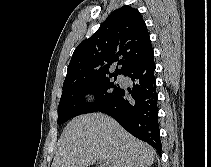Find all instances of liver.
I'll return each mask as SVG.
<instances>
[{
  "label": "liver",
  "instance_id": "1",
  "mask_svg": "<svg viewBox=\"0 0 211 167\" xmlns=\"http://www.w3.org/2000/svg\"><path fill=\"white\" fill-rule=\"evenodd\" d=\"M156 151L134 138L113 118L86 114L72 119L61 134L51 167H88L97 160L107 167H148Z\"/></svg>",
  "mask_w": 211,
  "mask_h": 167
}]
</instances>
